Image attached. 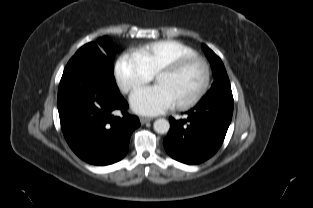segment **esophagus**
<instances>
[{
  "mask_svg": "<svg viewBox=\"0 0 313 208\" xmlns=\"http://www.w3.org/2000/svg\"><path fill=\"white\" fill-rule=\"evenodd\" d=\"M152 119L147 117H140V123L143 125L147 122H150Z\"/></svg>",
  "mask_w": 313,
  "mask_h": 208,
  "instance_id": "1",
  "label": "esophagus"
}]
</instances>
